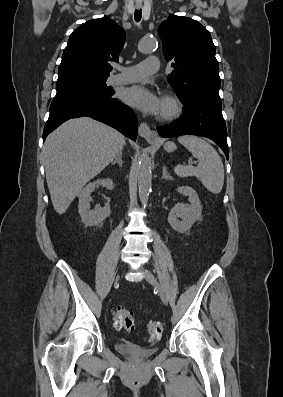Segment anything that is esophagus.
Returning <instances> with one entry per match:
<instances>
[{"label":"esophagus","mask_w":283,"mask_h":397,"mask_svg":"<svg viewBox=\"0 0 283 397\" xmlns=\"http://www.w3.org/2000/svg\"><path fill=\"white\" fill-rule=\"evenodd\" d=\"M137 7L140 8V5H137ZM138 133L148 142H155L158 139L157 132L151 130L150 127L144 122L139 125Z\"/></svg>","instance_id":"obj_1"}]
</instances>
